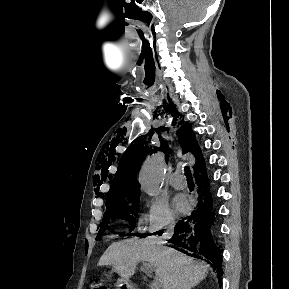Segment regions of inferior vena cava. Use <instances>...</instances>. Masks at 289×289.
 <instances>
[{
    "label": "inferior vena cava",
    "mask_w": 289,
    "mask_h": 289,
    "mask_svg": "<svg viewBox=\"0 0 289 289\" xmlns=\"http://www.w3.org/2000/svg\"><path fill=\"white\" fill-rule=\"evenodd\" d=\"M173 230H174V223L172 222V223L168 226L167 231H166V233H165V236H166L167 238H169V237L172 235ZM163 289H172V287H171L168 279L165 280V282H164V284H163Z\"/></svg>",
    "instance_id": "602c4592"
}]
</instances>
